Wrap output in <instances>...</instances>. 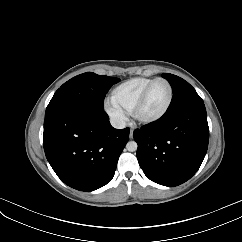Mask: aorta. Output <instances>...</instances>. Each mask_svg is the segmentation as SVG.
Wrapping results in <instances>:
<instances>
[{
  "mask_svg": "<svg viewBox=\"0 0 242 242\" xmlns=\"http://www.w3.org/2000/svg\"><path fill=\"white\" fill-rule=\"evenodd\" d=\"M126 148L130 152H134L137 150V143L135 141H129L126 145Z\"/></svg>",
  "mask_w": 242,
  "mask_h": 242,
  "instance_id": "1",
  "label": "aorta"
}]
</instances>
